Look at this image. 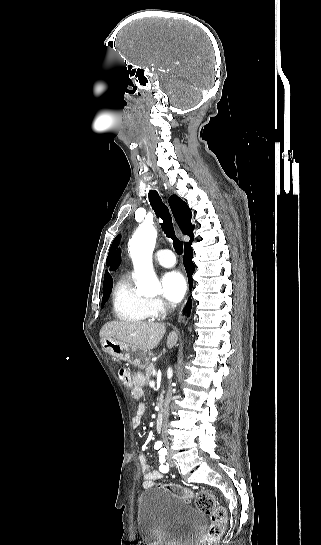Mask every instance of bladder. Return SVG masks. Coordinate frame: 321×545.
Segmentation results:
<instances>
[{
	"label": "bladder",
	"mask_w": 321,
	"mask_h": 545,
	"mask_svg": "<svg viewBox=\"0 0 321 545\" xmlns=\"http://www.w3.org/2000/svg\"><path fill=\"white\" fill-rule=\"evenodd\" d=\"M206 525L205 514L161 487L139 496L137 529L146 545H191Z\"/></svg>",
	"instance_id": "31cf9c89"
}]
</instances>
